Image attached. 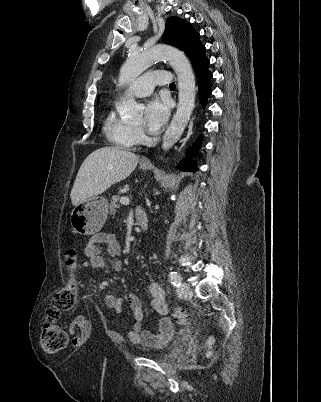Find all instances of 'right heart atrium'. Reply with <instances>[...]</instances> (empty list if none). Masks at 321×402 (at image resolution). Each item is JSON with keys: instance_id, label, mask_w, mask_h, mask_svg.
Masks as SVG:
<instances>
[{"instance_id": "obj_1", "label": "right heart atrium", "mask_w": 321, "mask_h": 402, "mask_svg": "<svg viewBox=\"0 0 321 402\" xmlns=\"http://www.w3.org/2000/svg\"><path fill=\"white\" fill-rule=\"evenodd\" d=\"M135 136L138 143H143L145 141V135L140 127H135Z\"/></svg>"}]
</instances>
